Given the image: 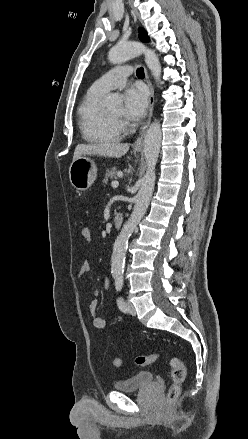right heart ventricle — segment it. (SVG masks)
I'll return each mask as SVG.
<instances>
[{
  "label": "right heart ventricle",
  "instance_id": "right-heart-ventricle-1",
  "mask_svg": "<svg viewBox=\"0 0 248 439\" xmlns=\"http://www.w3.org/2000/svg\"><path fill=\"white\" fill-rule=\"evenodd\" d=\"M104 94L89 89L78 107V123L84 139L90 143H113L121 140L123 132L102 112Z\"/></svg>",
  "mask_w": 248,
  "mask_h": 439
}]
</instances>
